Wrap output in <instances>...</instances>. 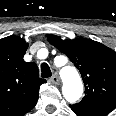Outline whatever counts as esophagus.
Returning <instances> with one entry per match:
<instances>
[{
  "instance_id": "obj_1",
  "label": "esophagus",
  "mask_w": 116,
  "mask_h": 116,
  "mask_svg": "<svg viewBox=\"0 0 116 116\" xmlns=\"http://www.w3.org/2000/svg\"><path fill=\"white\" fill-rule=\"evenodd\" d=\"M50 82L57 85L60 83V79L57 75H53L51 78H50Z\"/></svg>"
}]
</instances>
